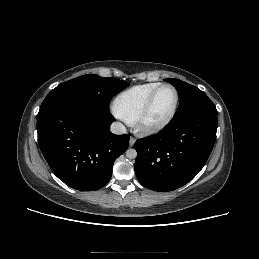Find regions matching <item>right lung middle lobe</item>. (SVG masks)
I'll return each mask as SVG.
<instances>
[{"label":"right lung middle lobe","instance_id":"1","mask_svg":"<svg viewBox=\"0 0 259 259\" xmlns=\"http://www.w3.org/2000/svg\"><path fill=\"white\" fill-rule=\"evenodd\" d=\"M129 83L111 77L87 74L61 83L46 96L39 112L63 101H79L103 110H109L113 96Z\"/></svg>","mask_w":259,"mask_h":259}]
</instances>
